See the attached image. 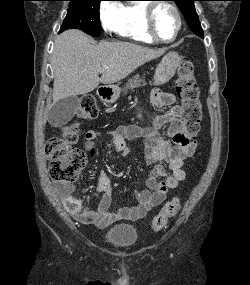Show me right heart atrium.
I'll return each instance as SVG.
<instances>
[{"label": "right heart atrium", "instance_id": "1", "mask_svg": "<svg viewBox=\"0 0 250 285\" xmlns=\"http://www.w3.org/2000/svg\"><path fill=\"white\" fill-rule=\"evenodd\" d=\"M123 5L115 0L104 1L100 5L99 14L103 29L117 33L121 24Z\"/></svg>", "mask_w": 250, "mask_h": 285}]
</instances>
